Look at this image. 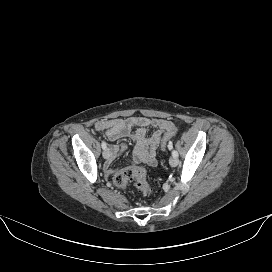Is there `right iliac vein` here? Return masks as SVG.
Wrapping results in <instances>:
<instances>
[{
	"label": "right iliac vein",
	"mask_w": 272,
	"mask_h": 272,
	"mask_svg": "<svg viewBox=\"0 0 272 272\" xmlns=\"http://www.w3.org/2000/svg\"><path fill=\"white\" fill-rule=\"evenodd\" d=\"M109 156H110V151H109V149H108V148L104 149V151H103V157H104L105 159H108Z\"/></svg>",
	"instance_id": "right-iliac-vein-1"
}]
</instances>
